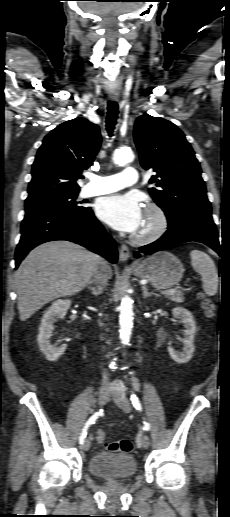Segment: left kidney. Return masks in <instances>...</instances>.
<instances>
[{
    "mask_svg": "<svg viewBox=\"0 0 230 517\" xmlns=\"http://www.w3.org/2000/svg\"><path fill=\"white\" fill-rule=\"evenodd\" d=\"M172 314L174 318L180 319L184 324V346L181 352L176 351L172 347H168V352L171 358L177 363H187L192 358L194 352L193 342L196 333V323L190 311L183 307H175L172 310Z\"/></svg>",
    "mask_w": 230,
    "mask_h": 517,
    "instance_id": "5707ae66",
    "label": "left kidney"
}]
</instances>
